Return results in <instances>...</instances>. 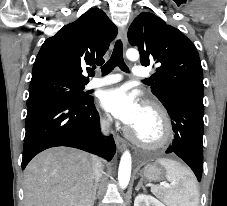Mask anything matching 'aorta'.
<instances>
[{
	"mask_svg": "<svg viewBox=\"0 0 227 206\" xmlns=\"http://www.w3.org/2000/svg\"><path fill=\"white\" fill-rule=\"evenodd\" d=\"M126 56L131 61H136L139 58V52L136 49H128ZM131 154L129 151H125L121 157L119 169H118V183L121 189H125L130 181L131 177Z\"/></svg>",
	"mask_w": 227,
	"mask_h": 206,
	"instance_id": "1",
	"label": "aorta"
}]
</instances>
